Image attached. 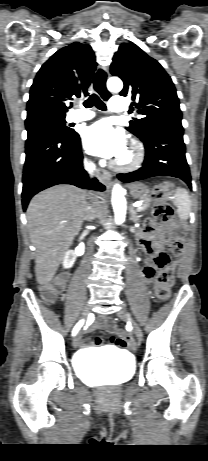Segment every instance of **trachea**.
<instances>
[{"instance_id":"3493384b","label":"trachea","mask_w":208,"mask_h":461,"mask_svg":"<svg viewBox=\"0 0 208 461\" xmlns=\"http://www.w3.org/2000/svg\"><path fill=\"white\" fill-rule=\"evenodd\" d=\"M105 80L106 74L104 71L99 70L94 77L93 83L95 90L101 95L104 100H107L110 97V94L105 88ZM92 106H96L98 109L105 111L106 105L100 100L98 95L92 94L90 97L84 102L85 108H91Z\"/></svg>"}]
</instances>
